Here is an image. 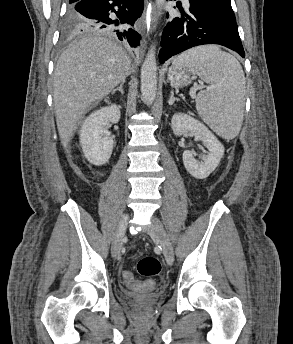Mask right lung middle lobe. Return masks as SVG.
Returning <instances> with one entry per match:
<instances>
[{
    "instance_id": "right-lung-middle-lobe-1",
    "label": "right lung middle lobe",
    "mask_w": 293,
    "mask_h": 344,
    "mask_svg": "<svg viewBox=\"0 0 293 344\" xmlns=\"http://www.w3.org/2000/svg\"><path fill=\"white\" fill-rule=\"evenodd\" d=\"M89 21L79 14L75 13L71 9L68 10V13L66 15V19L64 22V27L62 31V35L64 38L72 37L78 33H80L82 30L87 31V23Z\"/></svg>"
}]
</instances>
